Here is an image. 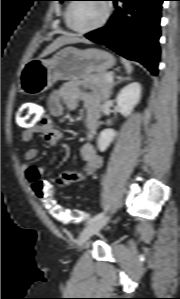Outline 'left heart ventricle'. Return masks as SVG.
Segmentation results:
<instances>
[{
  "label": "left heart ventricle",
  "mask_w": 180,
  "mask_h": 299,
  "mask_svg": "<svg viewBox=\"0 0 180 299\" xmlns=\"http://www.w3.org/2000/svg\"><path fill=\"white\" fill-rule=\"evenodd\" d=\"M103 15L104 6L102 2H78L74 7L72 22L75 27L85 29L99 23Z\"/></svg>",
  "instance_id": "1"
}]
</instances>
